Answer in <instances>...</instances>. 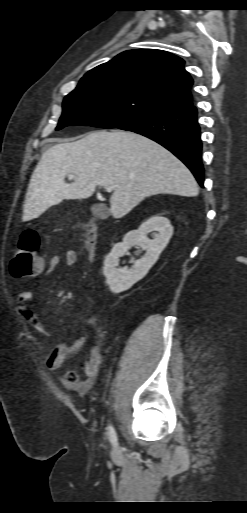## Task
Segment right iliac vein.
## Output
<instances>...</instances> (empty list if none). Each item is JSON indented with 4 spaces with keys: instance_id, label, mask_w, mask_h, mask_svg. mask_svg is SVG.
I'll return each instance as SVG.
<instances>
[{
    "instance_id": "right-iliac-vein-1",
    "label": "right iliac vein",
    "mask_w": 247,
    "mask_h": 513,
    "mask_svg": "<svg viewBox=\"0 0 247 513\" xmlns=\"http://www.w3.org/2000/svg\"><path fill=\"white\" fill-rule=\"evenodd\" d=\"M113 455H117L118 454V449L115 447V449L112 451Z\"/></svg>"
}]
</instances>
